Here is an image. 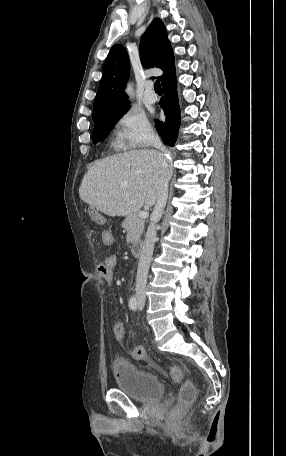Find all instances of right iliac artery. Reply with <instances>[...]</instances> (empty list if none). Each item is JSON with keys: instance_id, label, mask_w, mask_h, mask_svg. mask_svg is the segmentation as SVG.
<instances>
[{"instance_id": "82829eb1", "label": "right iliac artery", "mask_w": 286, "mask_h": 456, "mask_svg": "<svg viewBox=\"0 0 286 456\" xmlns=\"http://www.w3.org/2000/svg\"><path fill=\"white\" fill-rule=\"evenodd\" d=\"M137 305H138V303H137L136 297L132 296L129 300L130 309L135 311L137 309Z\"/></svg>"}]
</instances>
